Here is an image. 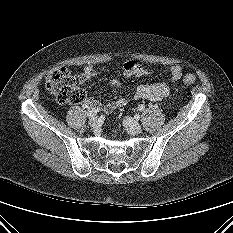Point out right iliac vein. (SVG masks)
Wrapping results in <instances>:
<instances>
[{
	"label": "right iliac vein",
	"instance_id": "63e3f726",
	"mask_svg": "<svg viewBox=\"0 0 233 233\" xmlns=\"http://www.w3.org/2000/svg\"><path fill=\"white\" fill-rule=\"evenodd\" d=\"M89 126L92 128H97L99 125V119L98 117H92L89 122H88Z\"/></svg>",
	"mask_w": 233,
	"mask_h": 233
}]
</instances>
